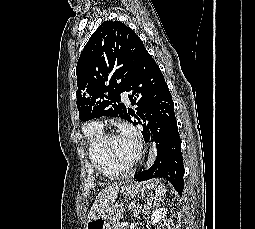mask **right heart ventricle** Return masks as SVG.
Segmentation results:
<instances>
[{
  "instance_id": "1",
  "label": "right heart ventricle",
  "mask_w": 255,
  "mask_h": 229,
  "mask_svg": "<svg viewBox=\"0 0 255 229\" xmlns=\"http://www.w3.org/2000/svg\"><path fill=\"white\" fill-rule=\"evenodd\" d=\"M102 135V127L95 126L94 122L86 124L85 136L87 142L88 157L92 165L100 174L108 178L116 177L120 175L122 171L110 166L106 159H104L98 152L97 145Z\"/></svg>"
}]
</instances>
